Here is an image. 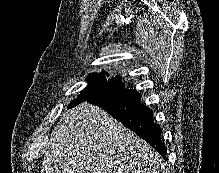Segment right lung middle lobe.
Listing matches in <instances>:
<instances>
[{"label": "right lung middle lobe", "instance_id": "1", "mask_svg": "<svg viewBox=\"0 0 219 173\" xmlns=\"http://www.w3.org/2000/svg\"><path fill=\"white\" fill-rule=\"evenodd\" d=\"M105 76H109V73H105V71L101 73H90L87 78L88 86L68 105V108H73L92 96L112 94L123 88L121 76L112 77L108 80Z\"/></svg>", "mask_w": 219, "mask_h": 173}]
</instances>
